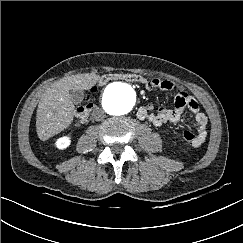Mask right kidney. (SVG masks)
<instances>
[{
  "label": "right kidney",
  "instance_id": "obj_1",
  "mask_svg": "<svg viewBox=\"0 0 243 243\" xmlns=\"http://www.w3.org/2000/svg\"><path fill=\"white\" fill-rule=\"evenodd\" d=\"M71 144V139L68 136H63L57 139L55 145L58 149H65Z\"/></svg>",
  "mask_w": 243,
  "mask_h": 243
}]
</instances>
